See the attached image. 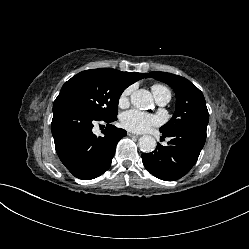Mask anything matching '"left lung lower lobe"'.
<instances>
[{
  "mask_svg": "<svg viewBox=\"0 0 249 249\" xmlns=\"http://www.w3.org/2000/svg\"><path fill=\"white\" fill-rule=\"evenodd\" d=\"M204 126L178 129L164 137L171 140L167 146L157 144L151 153L141 155L145 168L155 177L174 181L186 175L196 163L206 140Z\"/></svg>",
  "mask_w": 249,
  "mask_h": 249,
  "instance_id": "left-lung-lower-lobe-1",
  "label": "left lung lower lobe"
}]
</instances>
